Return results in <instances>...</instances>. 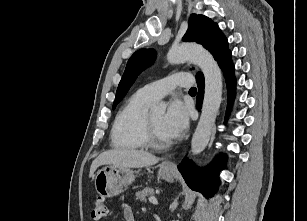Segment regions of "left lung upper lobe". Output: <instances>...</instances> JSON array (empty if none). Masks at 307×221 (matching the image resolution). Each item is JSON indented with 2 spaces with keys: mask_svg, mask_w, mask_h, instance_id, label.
Listing matches in <instances>:
<instances>
[{
  "mask_svg": "<svg viewBox=\"0 0 307 221\" xmlns=\"http://www.w3.org/2000/svg\"><path fill=\"white\" fill-rule=\"evenodd\" d=\"M182 40L201 44L211 52L218 63L230 54L226 37L218 25L204 15L192 14L190 16L188 29ZM154 60L155 51L153 49L138 50L130 57L117 88L113 109L123 99L141 71L151 65ZM200 77H203V74L198 72L196 79Z\"/></svg>",
  "mask_w": 307,
  "mask_h": 221,
  "instance_id": "1",
  "label": "left lung upper lobe"
}]
</instances>
